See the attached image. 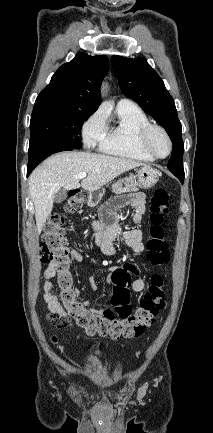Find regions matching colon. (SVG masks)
<instances>
[{
  "label": "colon",
  "instance_id": "obj_1",
  "mask_svg": "<svg viewBox=\"0 0 213 433\" xmlns=\"http://www.w3.org/2000/svg\"><path fill=\"white\" fill-rule=\"evenodd\" d=\"M88 194L82 190L69 192L65 213L53 214L44 229L42 251L44 259L50 260L57 271V283L61 288L60 299L69 317L90 334L110 336L112 338L137 337L144 329L152 325L165 304L164 280L159 273L151 276L150 284L141 297L135 311L130 305V286L132 271L121 266L112 273L114 285L111 303L113 308L104 312L90 309L78 300V292L72 286L69 271V251L65 245L63 232L66 214L80 210L86 203ZM151 226L148 232V259L154 266L168 262V245L163 228L164 216L169 211V195L163 188L154 191L150 204ZM50 320L57 328L69 326L66 318L51 316Z\"/></svg>",
  "mask_w": 213,
  "mask_h": 433
}]
</instances>
